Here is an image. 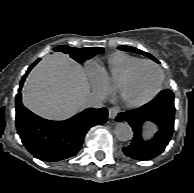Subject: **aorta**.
<instances>
[{
    "instance_id": "obj_1",
    "label": "aorta",
    "mask_w": 194,
    "mask_h": 193,
    "mask_svg": "<svg viewBox=\"0 0 194 193\" xmlns=\"http://www.w3.org/2000/svg\"><path fill=\"white\" fill-rule=\"evenodd\" d=\"M115 136L118 140L125 142L133 137V131L130 125L126 122L118 123L114 130Z\"/></svg>"
}]
</instances>
